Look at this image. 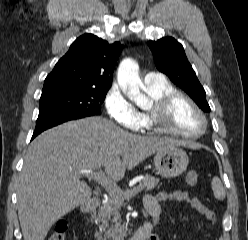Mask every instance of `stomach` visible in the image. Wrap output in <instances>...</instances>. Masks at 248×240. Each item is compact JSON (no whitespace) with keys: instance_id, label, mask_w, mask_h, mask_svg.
Returning a JSON list of instances; mask_svg holds the SVG:
<instances>
[{"instance_id":"obj_1","label":"stomach","mask_w":248,"mask_h":240,"mask_svg":"<svg viewBox=\"0 0 248 240\" xmlns=\"http://www.w3.org/2000/svg\"><path fill=\"white\" fill-rule=\"evenodd\" d=\"M187 153L178 146L158 151L154 157L157 172L166 178L181 175L188 166Z\"/></svg>"}]
</instances>
